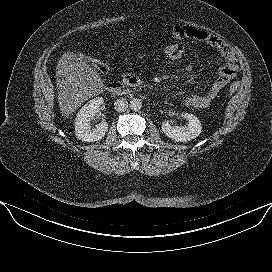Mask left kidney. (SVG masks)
Segmentation results:
<instances>
[{
    "mask_svg": "<svg viewBox=\"0 0 272 272\" xmlns=\"http://www.w3.org/2000/svg\"><path fill=\"white\" fill-rule=\"evenodd\" d=\"M183 117L188 120V125L171 126L170 121H165L161 126L164 134L176 142L190 141L198 137L201 133L202 126L196 116L193 114L185 113Z\"/></svg>",
    "mask_w": 272,
    "mask_h": 272,
    "instance_id": "obj_1",
    "label": "left kidney"
}]
</instances>
